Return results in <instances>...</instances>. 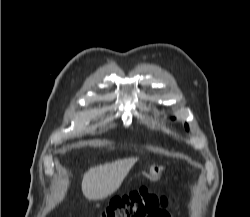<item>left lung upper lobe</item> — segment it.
Instances as JSON below:
<instances>
[{
    "label": "left lung upper lobe",
    "mask_w": 250,
    "mask_h": 217,
    "mask_svg": "<svg viewBox=\"0 0 250 217\" xmlns=\"http://www.w3.org/2000/svg\"><path fill=\"white\" fill-rule=\"evenodd\" d=\"M185 127H186L187 130L189 129L187 124H185Z\"/></svg>",
    "instance_id": "obj_1"
}]
</instances>
